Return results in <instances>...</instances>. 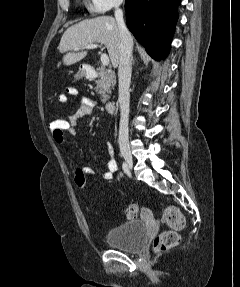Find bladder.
Masks as SVG:
<instances>
[{
  "label": "bladder",
  "instance_id": "obj_1",
  "mask_svg": "<svg viewBox=\"0 0 240 287\" xmlns=\"http://www.w3.org/2000/svg\"><path fill=\"white\" fill-rule=\"evenodd\" d=\"M110 247L129 253L140 252L148 239L147 226L142 221H129L110 229L105 236Z\"/></svg>",
  "mask_w": 240,
  "mask_h": 287
}]
</instances>
